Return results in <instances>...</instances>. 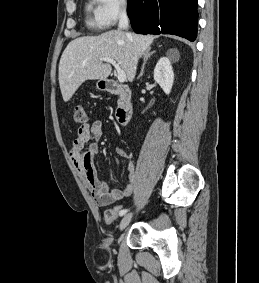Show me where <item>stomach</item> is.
Listing matches in <instances>:
<instances>
[{
    "label": "stomach",
    "instance_id": "0dacf381",
    "mask_svg": "<svg viewBox=\"0 0 259 283\" xmlns=\"http://www.w3.org/2000/svg\"><path fill=\"white\" fill-rule=\"evenodd\" d=\"M96 87H97V89L104 91L106 89V81L105 80H99L96 83Z\"/></svg>",
    "mask_w": 259,
    "mask_h": 283
}]
</instances>
